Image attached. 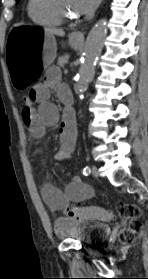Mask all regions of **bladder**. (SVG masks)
I'll use <instances>...</instances> for the list:
<instances>
[{
    "label": "bladder",
    "instance_id": "obj_1",
    "mask_svg": "<svg viewBox=\"0 0 148 279\" xmlns=\"http://www.w3.org/2000/svg\"><path fill=\"white\" fill-rule=\"evenodd\" d=\"M54 230L58 239L76 240L87 245L105 241L110 233L109 226L103 222L66 217L55 220Z\"/></svg>",
    "mask_w": 148,
    "mask_h": 279
}]
</instances>
